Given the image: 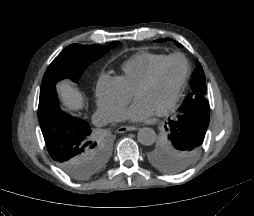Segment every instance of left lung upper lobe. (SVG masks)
<instances>
[{"instance_id": "left-lung-upper-lobe-1", "label": "left lung upper lobe", "mask_w": 254, "mask_h": 216, "mask_svg": "<svg viewBox=\"0 0 254 216\" xmlns=\"http://www.w3.org/2000/svg\"><path fill=\"white\" fill-rule=\"evenodd\" d=\"M164 40L171 39L156 42ZM175 44L182 47L176 41ZM191 89L192 93L183 102L181 114L165 126L168 137L148 152L149 161L166 173H180L195 161L208 128L210 107L206 97L205 75L199 62L191 79Z\"/></svg>"}]
</instances>
